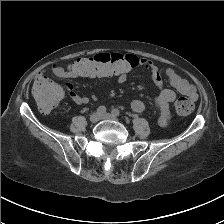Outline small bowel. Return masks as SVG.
Segmentation results:
<instances>
[{
    "label": "small bowel",
    "instance_id": "small-bowel-1",
    "mask_svg": "<svg viewBox=\"0 0 224 224\" xmlns=\"http://www.w3.org/2000/svg\"><path fill=\"white\" fill-rule=\"evenodd\" d=\"M134 56V55H130ZM137 59V65L143 67L148 71L149 78L159 87H162L163 80L161 78L160 72L158 67L149 59L147 58H138L134 56ZM50 70L60 78H75L78 77L77 73L72 69V67L65 68L61 63L55 62L51 65ZM127 74H118L116 75L118 83H124L126 81ZM166 76L168 78V81L173 89H163L159 95L155 99V104L158 110V122L160 125L164 126L168 123L170 119V103L173 102L176 98V92L187 96L191 100L197 99V94L194 86L189 83L186 79L181 77L175 70L173 69H167L166 70ZM42 79H48V77L45 74V70H42L38 73L36 76V81L42 80ZM66 89L68 91L69 96L71 99L77 103V104H87L89 102V98L85 95H80L75 91V88L72 84L68 83L66 84ZM131 108L137 112L142 113L146 105L145 103L140 99H134L131 102Z\"/></svg>",
    "mask_w": 224,
    "mask_h": 224
}]
</instances>
